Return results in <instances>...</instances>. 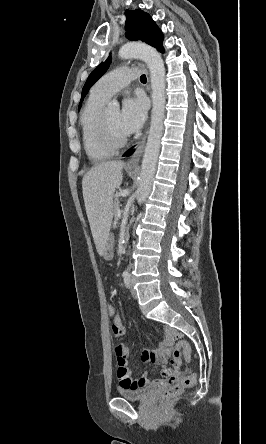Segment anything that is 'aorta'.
Returning a JSON list of instances; mask_svg holds the SVG:
<instances>
[{
  "label": "aorta",
  "mask_w": 266,
  "mask_h": 444,
  "mask_svg": "<svg viewBox=\"0 0 266 444\" xmlns=\"http://www.w3.org/2000/svg\"><path fill=\"white\" fill-rule=\"evenodd\" d=\"M118 54L122 59L138 58L143 60L150 71L152 86L151 123L141 165L139 186L136 193L137 201L141 204L146 200L151 191L163 134L166 103L165 67L162 57L157 50L146 44H125L120 48ZM108 108L118 111L120 105L116 100H113L109 102Z\"/></svg>",
  "instance_id": "762f6f07"
}]
</instances>
